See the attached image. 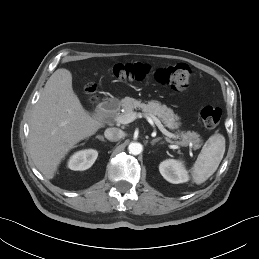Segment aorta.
<instances>
[{
	"label": "aorta",
	"mask_w": 259,
	"mask_h": 259,
	"mask_svg": "<svg viewBox=\"0 0 259 259\" xmlns=\"http://www.w3.org/2000/svg\"><path fill=\"white\" fill-rule=\"evenodd\" d=\"M128 150H129V153L130 154H133V155H138L142 152L143 150V146L142 144L140 143H131L129 146H128Z\"/></svg>",
	"instance_id": "762f6f07"
}]
</instances>
